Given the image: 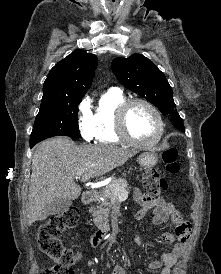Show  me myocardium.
Here are the masks:
<instances>
[{"label":"myocardium","mask_w":221,"mask_h":274,"mask_svg":"<svg viewBox=\"0 0 221 274\" xmlns=\"http://www.w3.org/2000/svg\"><path fill=\"white\" fill-rule=\"evenodd\" d=\"M135 104H142L146 106L155 116L158 123V132L156 137L150 142H140L134 139L127 128V115L130 108ZM116 130L119 137L126 143L139 147L151 148L159 143L164 133V121L158 108L150 101L143 98H131L124 101L117 109L116 113Z\"/></svg>","instance_id":"obj_1"}]
</instances>
